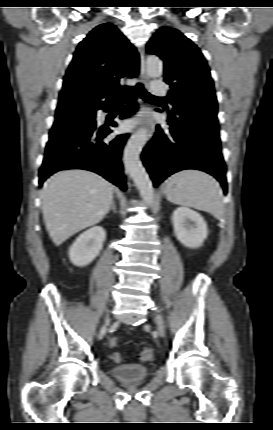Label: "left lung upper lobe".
Segmentation results:
<instances>
[{
    "label": "left lung upper lobe",
    "mask_w": 273,
    "mask_h": 430,
    "mask_svg": "<svg viewBox=\"0 0 273 430\" xmlns=\"http://www.w3.org/2000/svg\"><path fill=\"white\" fill-rule=\"evenodd\" d=\"M147 53L164 61L165 82L170 85L169 100L176 116L192 120L217 119V99L213 80L199 48L180 31L161 27L146 46Z\"/></svg>",
    "instance_id": "obj_1"
}]
</instances>
